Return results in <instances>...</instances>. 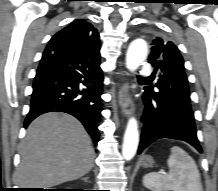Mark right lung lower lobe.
Returning <instances> with one entry per match:
<instances>
[{"instance_id":"1","label":"right lung lower lobe","mask_w":218,"mask_h":191,"mask_svg":"<svg viewBox=\"0 0 218 191\" xmlns=\"http://www.w3.org/2000/svg\"><path fill=\"white\" fill-rule=\"evenodd\" d=\"M102 82L100 49L81 52L48 44L34 78L25 127L43 113H69L83 123L96 145L102 111ZM80 83L85 88H79Z\"/></svg>"}]
</instances>
